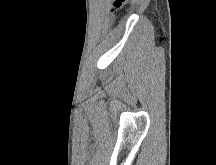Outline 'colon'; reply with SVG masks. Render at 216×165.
Instances as JSON below:
<instances>
[{"label":"colon","instance_id":"5ec220e1","mask_svg":"<svg viewBox=\"0 0 216 165\" xmlns=\"http://www.w3.org/2000/svg\"><path fill=\"white\" fill-rule=\"evenodd\" d=\"M127 0H116L114 2V7L112 9V12L118 11L123 8V6L126 4Z\"/></svg>","mask_w":216,"mask_h":165}]
</instances>
